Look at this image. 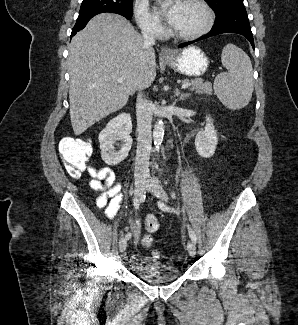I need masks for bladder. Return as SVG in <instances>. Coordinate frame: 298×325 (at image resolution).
<instances>
[{"label": "bladder", "instance_id": "obj_1", "mask_svg": "<svg viewBox=\"0 0 298 325\" xmlns=\"http://www.w3.org/2000/svg\"><path fill=\"white\" fill-rule=\"evenodd\" d=\"M130 270L138 279L152 285L171 283L180 277L178 268L153 261L139 254L131 257Z\"/></svg>", "mask_w": 298, "mask_h": 325}]
</instances>
